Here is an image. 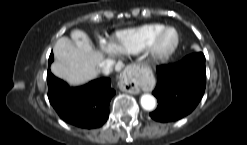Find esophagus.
<instances>
[{"label": "esophagus", "instance_id": "1", "mask_svg": "<svg viewBox=\"0 0 247 145\" xmlns=\"http://www.w3.org/2000/svg\"><path fill=\"white\" fill-rule=\"evenodd\" d=\"M139 83L140 72L132 67H127L121 74L118 85L122 91L135 95L140 92Z\"/></svg>", "mask_w": 247, "mask_h": 145}]
</instances>
